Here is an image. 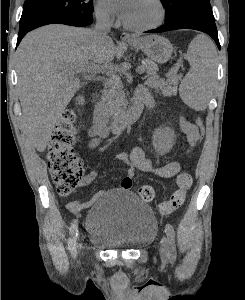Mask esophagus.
I'll use <instances>...</instances> for the list:
<instances>
[{
    "label": "esophagus",
    "mask_w": 245,
    "mask_h": 300,
    "mask_svg": "<svg viewBox=\"0 0 245 300\" xmlns=\"http://www.w3.org/2000/svg\"><path fill=\"white\" fill-rule=\"evenodd\" d=\"M121 39L123 41H132L134 38L129 33L123 32L121 34Z\"/></svg>",
    "instance_id": "esophagus-1"
}]
</instances>
